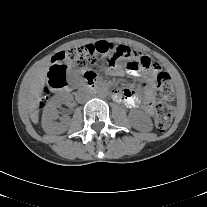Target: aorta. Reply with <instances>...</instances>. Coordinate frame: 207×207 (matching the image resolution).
Instances as JSON below:
<instances>
[{
  "label": "aorta",
  "mask_w": 207,
  "mask_h": 207,
  "mask_svg": "<svg viewBox=\"0 0 207 207\" xmlns=\"http://www.w3.org/2000/svg\"><path fill=\"white\" fill-rule=\"evenodd\" d=\"M99 95H100V97H106L108 95V91L104 88H101L99 90Z\"/></svg>",
  "instance_id": "1"
}]
</instances>
